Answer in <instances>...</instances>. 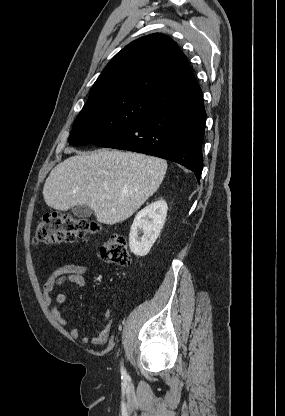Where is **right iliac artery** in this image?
<instances>
[{
	"label": "right iliac artery",
	"mask_w": 285,
	"mask_h": 416,
	"mask_svg": "<svg viewBox=\"0 0 285 416\" xmlns=\"http://www.w3.org/2000/svg\"><path fill=\"white\" fill-rule=\"evenodd\" d=\"M121 375H122V378H125V379L128 378V375H127L126 370L124 369V367H121Z\"/></svg>",
	"instance_id": "82829eb1"
}]
</instances>
